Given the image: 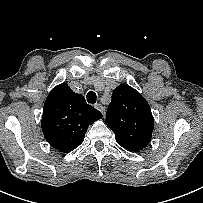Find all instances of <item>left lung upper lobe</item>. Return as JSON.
Here are the masks:
<instances>
[{
  "label": "left lung upper lobe",
  "mask_w": 203,
  "mask_h": 203,
  "mask_svg": "<svg viewBox=\"0 0 203 203\" xmlns=\"http://www.w3.org/2000/svg\"><path fill=\"white\" fill-rule=\"evenodd\" d=\"M106 124L115 133L117 143L131 152L146 147L154 129L148 102L137 90L124 84L112 93Z\"/></svg>",
  "instance_id": "1"
}]
</instances>
